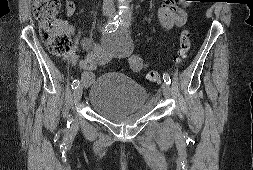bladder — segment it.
<instances>
[{
	"label": "bladder",
	"instance_id": "obj_1",
	"mask_svg": "<svg viewBox=\"0 0 253 170\" xmlns=\"http://www.w3.org/2000/svg\"><path fill=\"white\" fill-rule=\"evenodd\" d=\"M149 91L130 76L115 71L100 74L90 85L88 104L105 119L122 123L145 113Z\"/></svg>",
	"mask_w": 253,
	"mask_h": 170
}]
</instances>
